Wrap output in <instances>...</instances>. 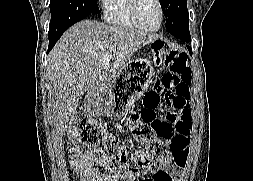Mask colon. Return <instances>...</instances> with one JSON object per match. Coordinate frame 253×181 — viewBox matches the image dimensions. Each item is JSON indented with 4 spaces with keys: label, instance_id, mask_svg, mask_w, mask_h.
Segmentation results:
<instances>
[{
    "label": "colon",
    "instance_id": "obj_1",
    "mask_svg": "<svg viewBox=\"0 0 253 181\" xmlns=\"http://www.w3.org/2000/svg\"><path fill=\"white\" fill-rule=\"evenodd\" d=\"M150 45L152 49H160L152 50V55H156V60H166L170 71L155 81L145 96L144 107L130 118L133 136L145 147L132 150L86 113L77 114L71 124L72 142L80 151L92 154L104 168L140 175L150 167H164L175 158L174 143L180 130H172V125L190 117L192 74L186 50L166 47L165 42L158 39ZM163 102L172 108L165 119L157 117Z\"/></svg>",
    "mask_w": 253,
    "mask_h": 181
}]
</instances>
